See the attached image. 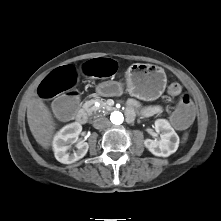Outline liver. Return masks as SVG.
<instances>
[{
    "mask_svg": "<svg viewBox=\"0 0 221 221\" xmlns=\"http://www.w3.org/2000/svg\"><path fill=\"white\" fill-rule=\"evenodd\" d=\"M27 121L36 142L49 149L56 129L53 116L40 98L33 97L27 105Z\"/></svg>",
    "mask_w": 221,
    "mask_h": 221,
    "instance_id": "1",
    "label": "liver"
}]
</instances>
